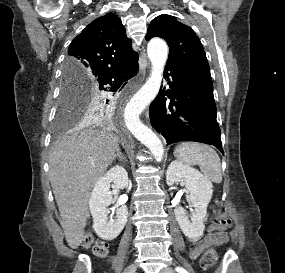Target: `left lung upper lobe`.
Listing matches in <instances>:
<instances>
[{"label":"left lung upper lobe","instance_id":"obj_1","mask_svg":"<svg viewBox=\"0 0 285 273\" xmlns=\"http://www.w3.org/2000/svg\"><path fill=\"white\" fill-rule=\"evenodd\" d=\"M165 39L170 48L167 63H172L188 76L212 81L206 54L195 32L171 15L162 14L150 23L145 36Z\"/></svg>","mask_w":285,"mask_h":273}]
</instances>
